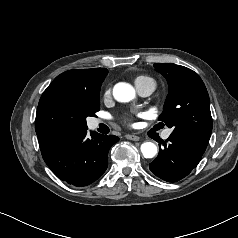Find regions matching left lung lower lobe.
<instances>
[{
    "instance_id": "left-lung-lower-lobe-1",
    "label": "left lung lower lobe",
    "mask_w": 238,
    "mask_h": 238,
    "mask_svg": "<svg viewBox=\"0 0 238 238\" xmlns=\"http://www.w3.org/2000/svg\"><path fill=\"white\" fill-rule=\"evenodd\" d=\"M161 143L164 148H160L158 156L149 164V168L157 177L168 182H176L198 165L208 140L172 132L166 143Z\"/></svg>"
}]
</instances>
